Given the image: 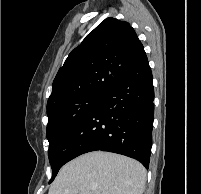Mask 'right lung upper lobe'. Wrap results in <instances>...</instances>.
Listing matches in <instances>:
<instances>
[{
	"label": "right lung upper lobe",
	"instance_id": "obj_1",
	"mask_svg": "<svg viewBox=\"0 0 201 194\" xmlns=\"http://www.w3.org/2000/svg\"><path fill=\"white\" fill-rule=\"evenodd\" d=\"M147 58L128 22H101L67 57L54 79L47 113L66 102L103 95Z\"/></svg>",
	"mask_w": 201,
	"mask_h": 194
}]
</instances>
